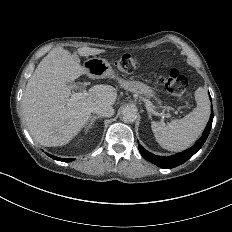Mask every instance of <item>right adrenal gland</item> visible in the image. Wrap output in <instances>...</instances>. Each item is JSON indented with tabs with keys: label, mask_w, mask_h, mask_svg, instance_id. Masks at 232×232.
<instances>
[{
	"label": "right adrenal gland",
	"mask_w": 232,
	"mask_h": 232,
	"mask_svg": "<svg viewBox=\"0 0 232 232\" xmlns=\"http://www.w3.org/2000/svg\"><path fill=\"white\" fill-rule=\"evenodd\" d=\"M98 118H101V116H95V115L89 116L88 120L84 124L85 134H87V132L89 131V129H91L92 125L94 124V122Z\"/></svg>",
	"instance_id": "2a0ac1e0"
}]
</instances>
